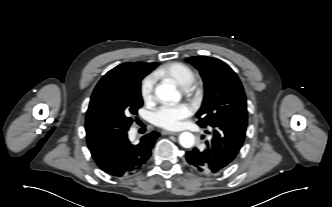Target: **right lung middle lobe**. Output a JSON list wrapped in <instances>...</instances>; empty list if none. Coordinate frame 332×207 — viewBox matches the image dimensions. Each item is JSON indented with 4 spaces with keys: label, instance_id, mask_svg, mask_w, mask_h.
I'll list each match as a JSON object with an SVG mask.
<instances>
[{
    "label": "right lung middle lobe",
    "instance_id": "right-lung-middle-lobe-1",
    "mask_svg": "<svg viewBox=\"0 0 332 207\" xmlns=\"http://www.w3.org/2000/svg\"><path fill=\"white\" fill-rule=\"evenodd\" d=\"M148 72L135 71L100 80L91 96L86 116V135L107 130H128L142 106L141 80Z\"/></svg>",
    "mask_w": 332,
    "mask_h": 207
}]
</instances>
